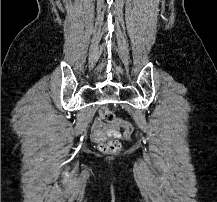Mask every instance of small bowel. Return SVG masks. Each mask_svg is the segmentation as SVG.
Segmentation results:
<instances>
[{
	"label": "small bowel",
	"mask_w": 217,
	"mask_h": 202,
	"mask_svg": "<svg viewBox=\"0 0 217 202\" xmlns=\"http://www.w3.org/2000/svg\"><path fill=\"white\" fill-rule=\"evenodd\" d=\"M100 116H97L92 121L90 127V140L93 143L100 144L111 137L121 136L119 128H110L107 123L100 120Z\"/></svg>",
	"instance_id": "obj_1"
}]
</instances>
